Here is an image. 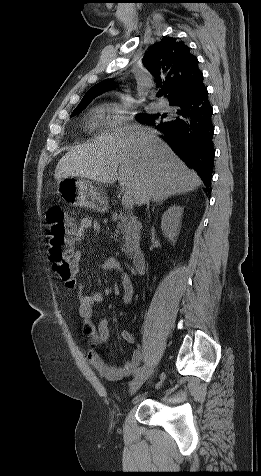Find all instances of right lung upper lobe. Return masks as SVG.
I'll list each match as a JSON object with an SVG mask.
<instances>
[{
    "mask_svg": "<svg viewBox=\"0 0 261 476\" xmlns=\"http://www.w3.org/2000/svg\"><path fill=\"white\" fill-rule=\"evenodd\" d=\"M144 61L154 75L157 87L166 89L170 104L191 95L202 84L203 75L198 68L197 58L184 42L176 38L165 37L154 44L147 51ZM114 87L112 79L94 85L77 107L88 105L94 97Z\"/></svg>",
    "mask_w": 261,
    "mask_h": 476,
    "instance_id": "1",
    "label": "right lung upper lobe"
}]
</instances>
